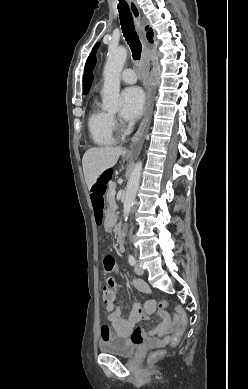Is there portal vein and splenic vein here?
Returning <instances> with one entry per match:
<instances>
[{
    "label": "portal vein and splenic vein",
    "mask_w": 248,
    "mask_h": 389,
    "mask_svg": "<svg viewBox=\"0 0 248 389\" xmlns=\"http://www.w3.org/2000/svg\"><path fill=\"white\" fill-rule=\"evenodd\" d=\"M115 194H116V192L114 191V192L112 193V195L115 196Z\"/></svg>",
    "instance_id": "18ae733b"
}]
</instances>
